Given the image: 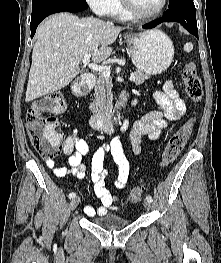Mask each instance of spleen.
Returning <instances> with one entry per match:
<instances>
[{
    "label": "spleen",
    "instance_id": "spleen-1",
    "mask_svg": "<svg viewBox=\"0 0 221 263\" xmlns=\"http://www.w3.org/2000/svg\"><path fill=\"white\" fill-rule=\"evenodd\" d=\"M193 49V44L188 42L184 45V51L190 52Z\"/></svg>",
    "mask_w": 221,
    "mask_h": 263
}]
</instances>
